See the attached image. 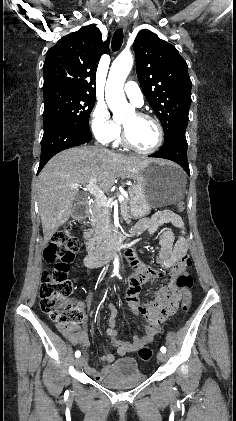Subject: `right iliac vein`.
<instances>
[{"label": "right iliac vein", "mask_w": 236, "mask_h": 421, "mask_svg": "<svg viewBox=\"0 0 236 421\" xmlns=\"http://www.w3.org/2000/svg\"><path fill=\"white\" fill-rule=\"evenodd\" d=\"M84 362H85V358L83 356L75 360V364L77 367H81L84 364Z\"/></svg>", "instance_id": "obj_1"}]
</instances>
